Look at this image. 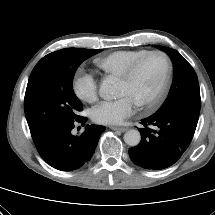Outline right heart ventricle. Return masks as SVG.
I'll return each instance as SVG.
<instances>
[{
    "instance_id": "e07e8e85",
    "label": "right heart ventricle",
    "mask_w": 215,
    "mask_h": 215,
    "mask_svg": "<svg viewBox=\"0 0 215 215\" xmlns=\"http://www.w3.org/2000/svg\"><path fill=\"white\" fill-rule=\"evenodd\" d=\"M148 50H119L96 60L97 66L105 73L120 77L127 67Z\"/></svg>"
}]
</instances>
